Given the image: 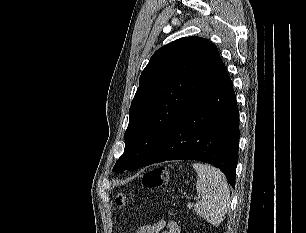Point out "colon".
<instances>
[{
    "instance_id": "obj_1",
    "label": "colon",
    "mask_w": 306,
    "mask_h": 233,
    "mask_svg": "<svg viewBox=\"0 0 306 233\" xmlns=\"http://www.w3.org/2000/svg\"><path fill=\"white\" fill-rule=\"evenodd\" d=\"M168 180V172L166 167H156L148 171L143 177V185L146 188H158L164 185ZM126 196L120 194L116 198V203L118 206L122 207L125 205Z\"/></svg>"
}]
</instances>
